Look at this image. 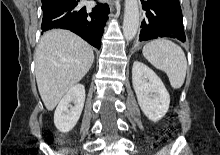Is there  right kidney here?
I'll use <instances>...</instances> for the list:
<instances>
[{
    "label": "right kidney",
    "instance_id": "1",
    "mask_svg": "<svg viewBox=\"0 0 220 155\" xmlns=\"http://www.w3.org/2000/svg\"><path fill=\"white\" fill-rule=\"evenodd\" d=\"M71 102H74V106H70ZM84 102L85 88L82 84L74 85L61 99L54 113V124L60 132L67 133L75 127Z\"/></svg>",
    "mask_w": 220,
    "mask_h": 155
}]
</instances>
